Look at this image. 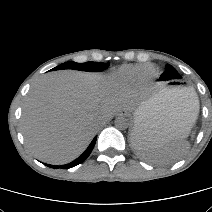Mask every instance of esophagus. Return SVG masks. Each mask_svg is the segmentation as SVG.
<instances>
[{
  "label": "esophagus",
  "instance_id": "obj_1",
  "mask_svg": "<svg viewBox=\"0 0 212 212\" xmlns=\"http://www.w3.org/2000/svg\"><path fill=\"white\" fill-rule=\"evenodd\" d=\"M118 114L121 115V116L125 115V113L123 111H120Z\"/></svg>",
  "mask_w": 212,
  "mask_h": 212
}]
</instances>
